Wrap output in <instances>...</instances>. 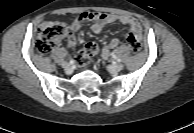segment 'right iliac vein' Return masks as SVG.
<instances>
[{"mask_svg": "<svg viewBox=\"0 0 194 133\" xmlns=\"http://www.w3.org/2000/svg\"><path fill=\"white\" fill-rule=\"evenodd\" d=\"M61 66L65 69V70H71V65L68 62H62Z\"/></svg>", "mask_w": 194, "mask_h": 133, "instance_id": "1", "label": "right iliac vein"}]
</instances>
